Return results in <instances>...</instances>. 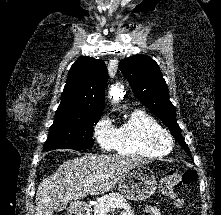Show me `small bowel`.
I'll use <instances>...</instances> for the list:
<instances>
[{
    "mask_svg": "<svg viewBox=\"0 0 221 215\" xmlns=\"http://www.w3.org/2000/svg\"><path fill=\"white\" fill-rule=\"evenodd\" d=\"M144 213L147 215H161L160 210L152 205H148L144 208ZM121 215H134L130 210H124Z\"/></svg>",
    "mask_w": 221,
    "mask_h": 215,
    "instance_id": "obj_1",
    "label": "small bowel"
}]
</instances>
